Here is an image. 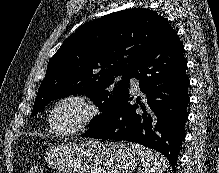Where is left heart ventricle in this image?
<instances>
[{
	"mask_svg": "<svg viewBox=\"0 0 219 173\" xmlns=\"http://www.w3.org/2000/svg\"><path fill=\"white\" fill-rule=\"evenodd\" d=\"M81 116V106L73 102H67L57 108L54 113V121L59 131H66L72 128Z\"/></svg>",
	"mask_w": 219,
	"mask_h": 173,
	"instance_id": "b2bd125f",
	"label": "left heart ventricle"
}]
</instances>
